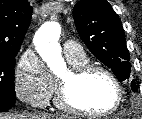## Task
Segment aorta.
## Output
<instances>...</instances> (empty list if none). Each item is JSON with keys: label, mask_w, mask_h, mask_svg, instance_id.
Returning <instances> with one entry per match:
<instances>
[{"label": "aorta", "mask_w": 142, "mask_h": 119, "mask_svg": "<svg viewBox=\"0 0 142 119\" xmlns=\"http://www.w3.org/2000/svg\"><path fill=\"white\" fill-rule=\"evenodd\" d=\"M60 35L61 27L59 23L51 21L44 23L34 36L37 52L53 73H59L65 68L61 47L58 43Z\"/></svg>", "instance_id": "1"}]
</instances>
